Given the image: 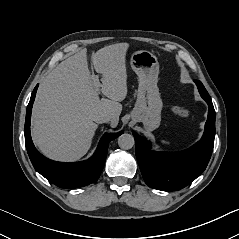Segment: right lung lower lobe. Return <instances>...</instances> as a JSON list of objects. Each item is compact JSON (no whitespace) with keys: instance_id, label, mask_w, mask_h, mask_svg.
I'll list each match as a JSON object with an SVG mask.
<instances>
[{"instance_id":"right-lung-lower-lobe-1","label":"right lung lower lobe","mask_w":239,"mask_h":239,"mask_svg":"<svg viewBox=\"0 0 239 239\" xmlns=\"http://www.w3.org/2000/svg\"><path fill=\"white\" fill-rule=\"evenodd\" d=\"M37 88L38 85L34 88L27 106L24 128L26 149L35 170L51 183L65 189L79 188L93 183L99 178L104 167L108 144L123 131L105 134L94 155L84 162L63 163L49 160L36 150L30 135L31 112Z\"/></svg>"}]
</instances>
